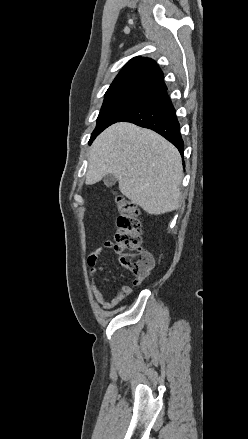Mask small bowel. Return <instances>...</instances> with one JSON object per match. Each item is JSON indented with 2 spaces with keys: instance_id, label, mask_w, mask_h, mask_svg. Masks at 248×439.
<instances>
[{
  "instance_id": "obj_1",
  "label": "small bowel",
  "mask_w": 248,
  "mask_h": 439,
  "mask_svg": "<svg viewBox=\"0 0 248 439\" xmlns=\"http://www.w3.org/2000/svg\"><path fill=\"white\" fill-rule=\"evenodd\" d=\"M111 247H112L111 243H105L101 248L92 252L87 259L88 266L90 268V284L94 296L100 307L105 310H109L116 307L120 302L128 298L132 292V288L130 286L124 285L112 298L106 299L99 287L97 277L98 275L106 272L104 267L100 265V259H99L100 254L103 250L110 249Z\"/></svg>"
}]
</instances>
